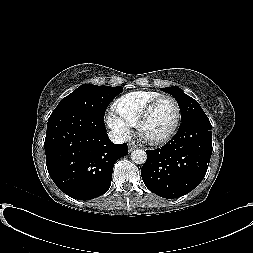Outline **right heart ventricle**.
<instances>
[{"label":"right heart ventricle","mask_w":253,"mask_h":253,"mask_svg":"<svg viewBox=\"0 0 253 253\" xmlns=\"http://www.w3.org/2000/svg\"><path fill=\"white\" fill-rule=\"evenodd\" d=\"M161 95L163 94L156 91H133L117 99L114 109L129 126H136L138 118L146 106Z\"/></svg>","instance_id":"e07e8e85"}]
</instances>
